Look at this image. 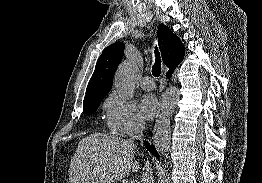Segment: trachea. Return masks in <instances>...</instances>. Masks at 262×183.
I'll list each match as a JSON object with an SVG mask.
<instances>
[{
	"label": "trachea",
	"mask_w": 262,
	"mask_h": 183,
	"mask_svg": "<svg viewBox=\"0 0 262 183\" xmlns=\"http://www.w3.org/2000/svg\"><path fill=\"white\" fill-rule=\"evenodd\" d=\"M155 56H156V60L152 67V74L155 77H159L161 74V60H160V55H159V51L157 47L155 48Z\"/></svg>",
	"instance_id": "3493384b"
}]
</instances>
